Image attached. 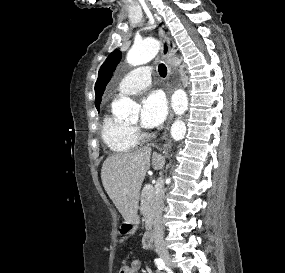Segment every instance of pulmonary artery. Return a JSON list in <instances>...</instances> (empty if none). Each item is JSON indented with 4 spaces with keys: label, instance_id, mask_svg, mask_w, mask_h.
<instances>
[{
    "label": "pulmonary artery",
    "instance_id": "obj_1",
    "mask_svg": "<svg viewBox=\"0 0 285 273\" xmlns=\"http://www.w3.org/2000/svg\"><path fill=\"white\" fill-rule=\"evenodd\" d=\"M152 67L140 66L125 74L118 83L117 91L122 94L137 93L151 84Z\"/></svg>",
    "mask_w": 285,
    "mask_h": 273
}]
</instances>
